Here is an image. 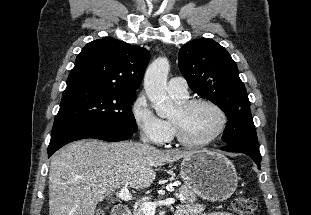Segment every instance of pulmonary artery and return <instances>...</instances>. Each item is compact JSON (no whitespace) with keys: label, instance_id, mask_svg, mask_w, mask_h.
<instances>
[{"label":"pulmonary artery","instance_id":"1","mask_svg":"<svg viewBox=\"0 0 311 215\" xmlns=\"http://www.w3.org/2000/svg\"><path fill=\"white\" fill-rule=\"evenodd\" d=\"M167 90L170 95L185 97L188 95V84L182 77H172L168 81Z\"/></svg>","mask_w":311,"mask_h":215}]
</instances>
